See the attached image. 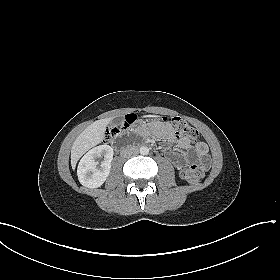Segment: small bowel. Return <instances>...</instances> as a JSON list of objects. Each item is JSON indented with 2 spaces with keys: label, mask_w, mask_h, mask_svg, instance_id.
Masks as SVG:
<instances>
[{
  "label": "small bowel",
  "mask_w": 280,
  "mask_h": 280,
  "mask_svg": "<svg viewBox=\"0 0 280 280\" xmlns=\"http://www.w3.org/2000/svg\"><path fill=\"white\" fill-rule=\"evenodd\" d=\"M153 126L158 130L159 134L162 135L163 137L169 140L177 141V145L179 148L183 150H187L191 147V141L188 138L185 137L177 138L168 125L154 124ZM194 149L201 166L204 169H207L210 164V158L208 156V146L204 142L198 141L194 144ZM189 163H190L189 155H184L183 158H180L175 162V166L177 169L181 170Z\"/></svg>",
  "instance_id": "1"
}]
</instances>
